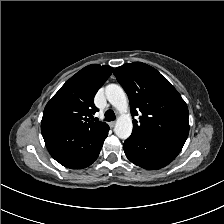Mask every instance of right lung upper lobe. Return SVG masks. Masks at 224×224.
<instances>
[{"instance_id":"cb5924a9","label":"right lung upper lobe","mask_w":224,"mask_h":224,"mask_svg":"<svg viewBox=\"0 0 224 224\" xmlns=\"http://www.w3.org/2000/svg\"><path fill=\"white\" fill-rule=\"evenodd\" d=\"M112 71L113 68L108 65L92 64L77 72L47 103L42 124L54 122L81 131L107 126L104 122H93L88 117L98 111L93 102L94 96Z\"/></svg>"}]
</instances>
